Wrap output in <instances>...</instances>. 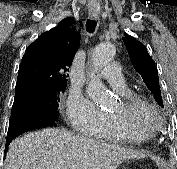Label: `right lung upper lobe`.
Instances as JSON below:
<instances>
[{
    "mask_svg": "<svg viewBox=\"0 0 177 169\" xmlns=\"http://www.w3.org/2000/svg\"><path fill=\"white\" fill-rule=\"evenodd\" d=\"M79 40V34L67 25L66 20L38 37L24 54L15 95L29 88L66 86L67 72L79 47Z\"/></svg>",
    "mask_w": 177,
    "mask_h": 169,
    "instance_id": "1",
    "label": "right lung upper lobe"
}]
</instances>
